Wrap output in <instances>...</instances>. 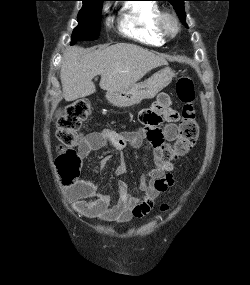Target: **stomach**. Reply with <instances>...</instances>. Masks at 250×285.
<instances>
[{
  "label": "stomach",
  "mask_w": 250,
  "mask_h": 285,
  "mask_svg": "<svg viewBox=\"0 0 250 285\" xmlns=\"http://www.w3.org/2000/svg\"><path fill=\"white\" fill-rule=\"evenodd\" d=\"M174 72L166 67L149 79L135 83L117 91H107L106 98L114 106L129 107L141 103L144 99L154 98L172 81Z\"/></svg>",
  "instance_id": "0dacf381"
}]
</instances>
